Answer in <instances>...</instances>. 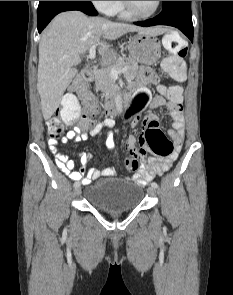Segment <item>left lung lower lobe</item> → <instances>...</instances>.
<instances>
[{
	"instance_id": "left-lung-lower-lobe-1",
	"label": "left lung lower lobe",
	"mask_w": 233,
	"mask_h": 295,
	"mask_svg": "<svg viewBox=\"0 0 233 295\" xmlns=\"http://www.w3.org/2000/svg\"><path fill=\"white\" fill-rule=\"evenodd\" d=\"M135 24L143 27L173 26L180 29L193 42L191 1H171L163 6V11L158 16L150 20L135 22Z\"/></svg>"
}]
</instances>
